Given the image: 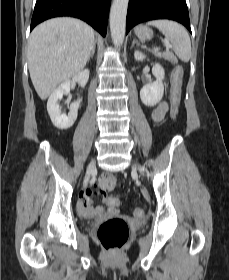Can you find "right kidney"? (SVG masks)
I'll return each instance as SVG.
<instances>
[{
  "label": "right kidney",
  "mask_w": 229,
  "mask_h": 280,
  "mask_svg": "<svg viewBox=\"0 0 229 280\" xmlns=\"http://www.w3.org/2000/svg\"><path fill=\"white\" fill-rule=\"evenodd\" d=\"M89 79V69H85L75 75L72 80L77 82L82 88L85 87ZM71 81L67 80L62 83L57 89H55L50 95L47 102V111L51 118L52 123L61 130L70 128L77 119L78 108L81 103V99H78L70 106L68 115L62 114L59 106V100L62 99L65 93L70 92Z\"/></svg>",
  "instance_id": "ca27d5eb"
}]
</instances>
